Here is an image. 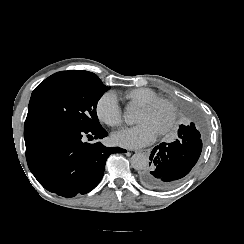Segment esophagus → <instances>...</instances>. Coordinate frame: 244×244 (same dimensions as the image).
Masks as SVG:
<instances>
[{
	"label": "esophagus",
	"mask_w": 244,
	"mask_h": 244,
	"mask_svg": "<svg viewBox=\"0 0 244 244\" xmlns=\"http://www.w3.org/2000/svg\"><path fill=\"white\" fill-rule=\"evenodd\" d=\"M150 152H151V149H149V148H147V149H140V150H136L135 151V153H142V154H144L146 156H149Z\"/></svg>",
	"instance_id": "1"
}]
</instances>
